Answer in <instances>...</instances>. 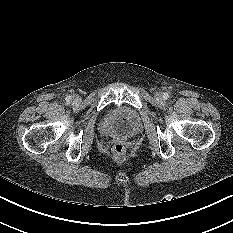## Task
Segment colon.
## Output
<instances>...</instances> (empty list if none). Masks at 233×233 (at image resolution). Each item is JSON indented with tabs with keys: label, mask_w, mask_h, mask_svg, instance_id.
<instances>
[{
	"label": "colon",
	"mask_w": 233,
	"mask_h": 233,
	"mask_svg": "<svg viewBox=\"0 0 233 233\" xmlns=\"http://www.w3.org/2000/svg\"><path fill=\"white\" fill-rule=\"evenodd\" d=\"M112 153L116 159H122L126 153L125 146L122 143L114 144L112 147Z\"/></svg>",
	"instance_id": "colon-1"
}]
</instances>
